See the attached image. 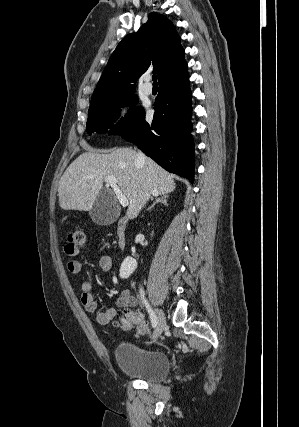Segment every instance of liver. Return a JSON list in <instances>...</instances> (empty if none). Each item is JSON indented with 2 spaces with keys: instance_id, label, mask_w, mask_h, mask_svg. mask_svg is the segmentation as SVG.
I'll use <instances>...</instances> for the list:
<instances>
[{
  "instance_id": "obj_1",
  "label": "liver",
  "mask_w": 299,
  "mask_h": 427,
  "mask_svg": "<svg viewBox=\"0 0 299 427\" xmlns=\"http://www.w3.org/2000/svg\"><path fill=\"white\" fill-rule=\"evenodd\" d=\"M106 176L114 177L126 196L129 219L138 216L151 196L168 194L175 189L170 173L151 158L139 160L132 148H117L109 154L89 151L76 158L62 175L58 185L60 207L90 211Z\"/></svg>"
}]
</instances>
